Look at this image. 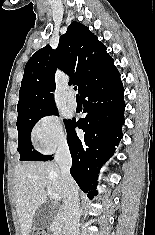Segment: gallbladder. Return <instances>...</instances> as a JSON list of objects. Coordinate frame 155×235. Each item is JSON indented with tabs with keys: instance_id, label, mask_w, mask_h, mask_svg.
I'll return each instance as SVG.
<instances>
[{
	"instance_id": "obj_1",
	"label": "gallbladder",
	"mask_w": 155,
	"mask_h": 235,
	"mask_svg": "<svg viewBox=\"0 0 155 235\" xmlns=\"http://www.w3.org/2000/svg\"><path fill=\"white\" fill-rule=\"evenodd\" d=\"M57 211L58 207L50 202L42 204L35 214L34 226L37 229L47 227L55 218Z\"/></svg>"
}]
</instances>
